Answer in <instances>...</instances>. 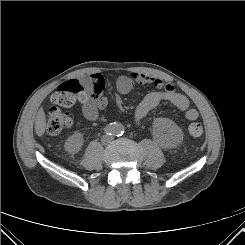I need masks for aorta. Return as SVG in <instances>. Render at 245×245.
<instances>
[{"instance_id": "obj_1", "label": "aorta", "mask_w": 245, "mask_h": 245, "mask_svg": "<svg viewBox=\"0 0 245 245\" xmlns=\"http://www.w3.org/2000/svg\"><path fill=\"white\" fill-rule=\"evenodd\" d=\"M123 130H124V126L120 123L112 125V132L116 135L121 134Z\"/></svg>"}]
</instances>
